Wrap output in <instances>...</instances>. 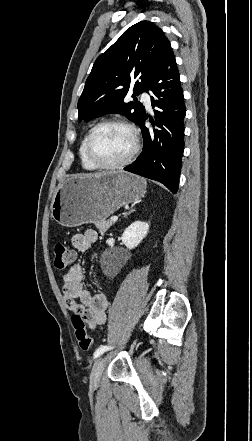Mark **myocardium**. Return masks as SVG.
<instances>
[{
  "mask_svg": "<svg viewBox=\"0 0 252 441\" xmlns=\"http://www.w3.org/2000/svg\"><path fill=\"white\" fill-rule=\"evenodd\" d=\"M104 126H121V127L125 128L130 133V136L132 139V148H131L130 152L128 153V155L118 162L101 163L98 160H96L91 153L92 139H93L94 135L96 134V132ZM138 151H139V139H138V134H137L136 128L128 121H125L122 119H107V120H103V121L97 123L88 133V136H87V139L85 142V155H86L88 161L94 167L99 168V169L122 168V167L126 166L127 164H129L134 159V157L136 156Z\"/></svg>",
  "mask_w": 252,
  "mask_h": 441,
  "instance_id": "myocardium-1",
  "label": "myocardium"
}]
</instances>
